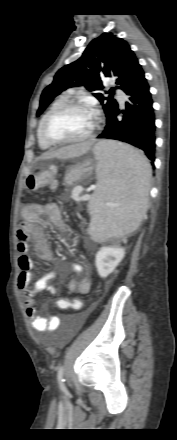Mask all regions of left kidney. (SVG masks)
I'll list each match as a JSON object with an SVG mask.
<instances>
[{
    "label": "left kidney",
    "mask_w": 177,
    "mask_h": 440,
    "mask_svg": "<svg viewBox=\"0 0 177 440\" xmlns=\"http://www.w3.org/2000/svg\"><path fill=\"white\" fill-rule=\"evenodd\" d=\"M125 256V249L118 246H104L96 254L95 265L100 277L111 274Z\"/></svg>",
    "instance_id": "1"
}]
</instances>
